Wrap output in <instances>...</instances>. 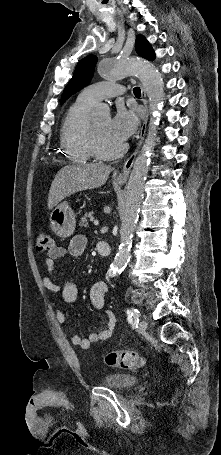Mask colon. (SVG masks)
Segmentation results:
<instances>
[{
	"instance_id": "colon-1",
	"label": "colon",
	"mask_w": 221,
	"mask_h": 455,
	"mask_svg": "<svg viewBox=\"0 0 221 455\" xmlns=\"http://www.w3.org/2000/svg\"><path fill=\"white\" fill-rule=\"evenodd\" d=\"M35 245L39 252H49L54 247L51 235L46 230L37 232ZM104 361L109 367L124 369H138L145 363L144 358L135 351L109 352L105 355Z\"/></svg>"
}]
</instances>
